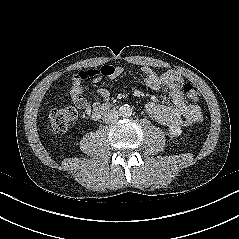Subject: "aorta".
Listing matches in <instances>:
<instances>
[{"label": "aorta", "instance_id": "1", "mask_svg": "<svg viewBox=\"0 0 239 239\" xmlns=\"http://www.w3.org/2000/svg\"><path fill=\"white\" fill-rule=\"evenodd\" d=\"M119 113L123 117H129L132 115V108L128 104L122 105L119 108Z\"/></svg>", "mask_w": 239, "mask_h": 239}]
</instances>
